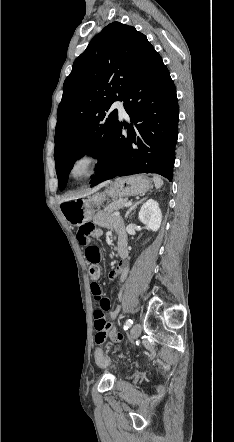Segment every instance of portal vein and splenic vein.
I'll return each instance as SVG.
<instances>
[{
  "mask_svg": "<svg viewBox=\"0 0 234 442\" xmlns=\"http://www.w3.org/2000/svg\"><path fill=\"white\" fill-rule=\"evenodd\" d=\"M130 205H131L130 202H127V203L124 204V206H130Z\"/></svg>",
  "mask_w": 234,
  "mask_h": 442,
  "instance_id": "portal-vein-and-splenic-vein-1",
  "label": "portal vein and splenic vein"
}]
</instances>
